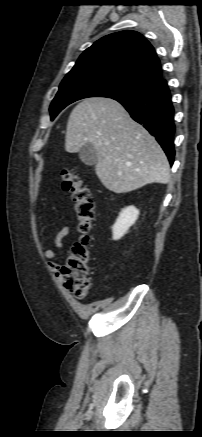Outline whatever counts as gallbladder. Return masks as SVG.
<instances>
[{"mask_svg":"<svg viewBox=\"0 0 202 437\" xmlns=\"http://www.w3.org/2000/svg\"><path fill=\"white\" fill-rule=\"evenodd\" d=\"M79 158L84 164L93 166L97 163V151L91 143H85L79 150Z\"/></svg>","mask_w":202,"mask_h":437,"instance_id":"obj_1","label":"gallbladder"}]
</instances>
